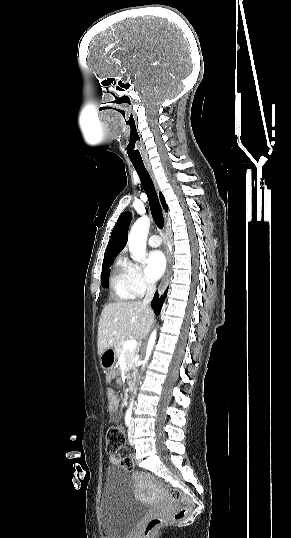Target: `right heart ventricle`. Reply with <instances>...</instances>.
<instances>
[{
	"label": "right heart ventricle",
	"mask_w": 291,
	"mask_h": 538,
	"mask_svg": "<svg viewBox=\"0 0 291 538\" xmlns=\"http://www.w3.org/2000/svg\"><path fill=\"white\" fill-rule=\"evenodd\" d=\"M110 283L113 295L118 301L133 300L137 296L130 283L127 266L121 260L113 266Z\"/></svg>",
	"instance_id": "obj_1"
}]
</instances>
